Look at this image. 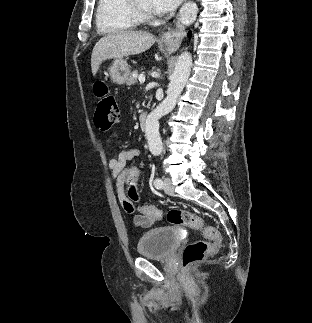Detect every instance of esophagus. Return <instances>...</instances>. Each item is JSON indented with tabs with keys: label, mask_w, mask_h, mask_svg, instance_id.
Instances as JSON below:
<instances>
[{
	"label": "esophagus",
	"mask_w": 312,
	"mask_h": 323,
	"mask_svg": "<svg viewBox=\"0 0 312 323\" xmlns=\"http://www.w3.org/2000/svg\"><path fill=\"white\" fill-rule=\"evenodd\" d=\"M185 27L177 20L176 27L168 30L163 37L164 43L171 49H178L185 36Z\"/></svg>",
	"instance_id": "34e87169"
}]
</instances>
